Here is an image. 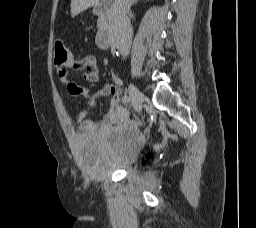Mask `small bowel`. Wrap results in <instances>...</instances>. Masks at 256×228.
<instances>
[{"instance_id": "1", "label": "small bowel", "mask_w": 256, "mask_h": 228, "mask_svg": "<svg viewBox=\"0 0 256 228\" xmlns=\"http://www.w3.org/2000/svg\"><path fill=\"white\" fill-rule=\"evenodd\" d=\"M59 81L66 87L68 93L74 97H82L87 100L88 109L83 110L77 116L79 129L83 133L99 132L106 133L114 125L126 122L128 113L120 104V88L114 84H105L96 94L91 95L90 91L79 84L70 74L71 69L84 70L83 78L86 82L94 83L100 79V69L97 58L94 55L77 57L70 55L69 60L63 65H56ZM111 96L112 105L106 115L98 122L86 119L87 115L95 107L97 98Z\"/></svg>"}]
</instances>
